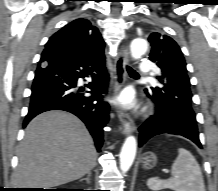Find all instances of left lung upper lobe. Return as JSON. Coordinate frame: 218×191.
Wrapping results in <instances>:
<instances>
[{"label": "left lung upper lobe", "mask_w": 218, "mask_h": 191, "mask_svg": "<svg viewBox=\"0 0 218 191\" xmlns=\"http://www.w3.org/2000/svg\"><path fill=\"white\" fill-rule=\"evenodd\" d=\"M149 41L152 46L149 59L162 71L157 77L161 86L151 88L152 95L169 106L182 103L191 107L190 81L179 46L172 38L160 33H152ZM191 127L197 128L195 117L192 119Z\"/></svg>", "instance_id": "1"}]
</instances>
